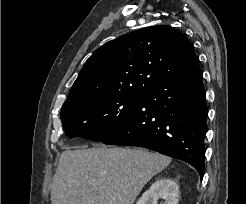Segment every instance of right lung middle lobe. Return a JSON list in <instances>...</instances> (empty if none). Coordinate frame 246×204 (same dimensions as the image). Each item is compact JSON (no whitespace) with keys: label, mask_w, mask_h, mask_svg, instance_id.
<instances>
[{"label":"right lung middle lobe","mask_w":246,"mask_h":204,"mask_svg":"<svg viewBox=\"0 0 246 204\" xmlns=\"http://www.w3.org/2000/svg\"><path fill=\"white\" fill-rule=\"evenodd\" d=\"M140 95L108 94L63 107L61 120L66 135L101 141L124 123Z\"/></svg>","instance_id":"1"}]
</instances>
